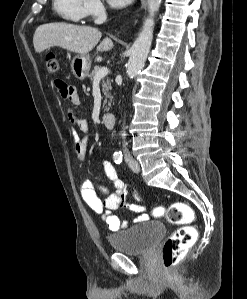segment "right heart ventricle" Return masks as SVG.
<instances>
[{
  "label": "right heart ventricle",
  "mask_w": 247,
  "mask_h": 299,
  "mask_svg": "<svg viewBox=\"0 0 247 299\" xmlns=\"http://www.w3.org/2000/svg\"><path fill=\"white\" fill-rule=\"evenodd\" d=\"M53 9L64 21L78 23L86 16V0H53Z\"/></svg>",
  "instance_id": "obj_1"
}]
</instances>
